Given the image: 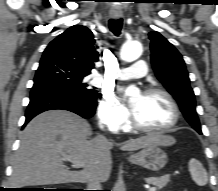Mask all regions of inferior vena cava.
Masks as SVG:
<instances>
[{"label":"inferior vena cava","mask_w":218,"mask_h":191,"mask_svg":"<svg viewBox=\"0 0 218 191\" xmlns=\"http://www.w3.org/2000/svg\"><path fill=\"white\" fill-rule=\"evenodd\" d=\"M101 182V177L98 173L91 174L87 184L88 190H101Z\"/></svg>","instance_id":"1"}]
</instances>
